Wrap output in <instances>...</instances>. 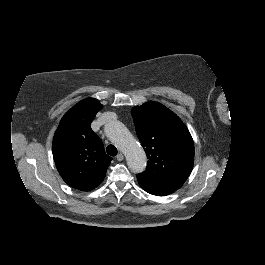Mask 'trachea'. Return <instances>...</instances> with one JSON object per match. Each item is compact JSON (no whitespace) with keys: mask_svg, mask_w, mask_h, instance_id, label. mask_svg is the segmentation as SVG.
Returning <instances> with one entry per match:
<instances>
[{"mask_svg":"<svg viewBox=\"0 0 265 265\" xmlns=\"http://www.w3.org/2000/svg\"><path fill=\"white\" fill-rule=\"evenodd\" d=\"M106 151L110 156L117 155V148L114 145H108Z\"/></svg>","mask_w":265,"mask_h":265,"instance_id":"trachea-1","label":"trachea"}]
</instances>
